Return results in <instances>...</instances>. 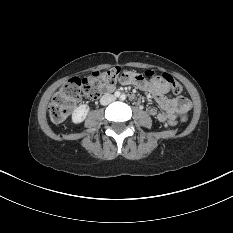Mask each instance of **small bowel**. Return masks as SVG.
Wrapping results in <instances>:
<instances>
[{
  "label": "small bowel",
  "instance_id": "obj_1",
  "mask_svg": "<svg viewBox=\"0 0 233 233\" xmlns=\"http://www.w3.org/2000/svg\"><path fill=\"white\" fill-rule=\"evenodd\" d=\"M119 82L122 85L136 86L137 88L150 93L160 106L161 111L157 110L155 107H148L146 111L160 122L175 120L176 118L185 120L191 108L189 99L182 96H171L167 85L159 79L147 81L143 74H136L131 70H126L121 73Z\"/></svg>",
  "mask_w": 233,
  "mask_h": 233
}]
</instances>
